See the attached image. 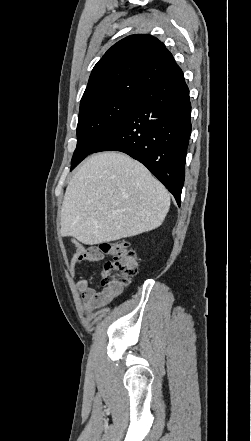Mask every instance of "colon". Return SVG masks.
I'll return each mask as SVG.
<instances>
[{"instance_id": "5ec220e1", "label": "colon", "mask_w": 251, "mask_h": 441, "mask_svg": "<svg viewBox=\"0 0 251 441\" xmlns=\"http://www.w3.org/2000/svg\"><path fill=\"white\" fill-rule=\"evenodd\" d=\"M99 250L112 256V260L106 262L102 269V284L115 290L128 285L138 269L135 250L125 240L101 243Z\"/></svg>"}]
</instances>
